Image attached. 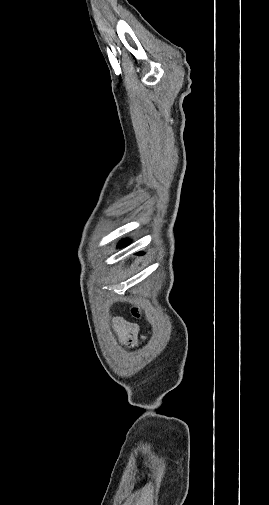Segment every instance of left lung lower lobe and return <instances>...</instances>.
<instances>
[{"mask_svg": "<svg viewBox=\"0 0 269 505\" xmlns=\"http://www.w3.org/2000/svg\"><path fill=\"white\" fill-rule=\"evenodd\" d=\"M129 243V241L125 240V241H122L119 245L122 246V245H127ZM139 255L140 254H143V253H138Z\"/></svg>", "mask_w": 269, "mask_h": 505, "instance_id": "1", "label": "left lung lower lobe"}]
</instances>
